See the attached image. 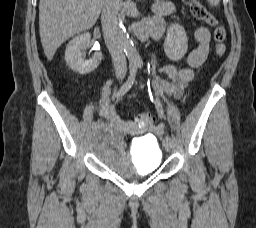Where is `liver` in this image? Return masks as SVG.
Wrapping results in <instances>:
<instances>
[{
	"mask_svg": "<svg viewBox=\"0 0 256 228\" xmlns=\"http://www.w3.org/2000/svg\"><path fill=\"white\" fill-rule=\"evenodd\" d=\"M103 4L104 0H40V39L49 61L63 42L93 27Z\"/></svg>",
	"mask_w": 256,
	"mask_h": 228,
	"instance_id": "6515ba94",
	"label": "liver"
}]
</instances>
